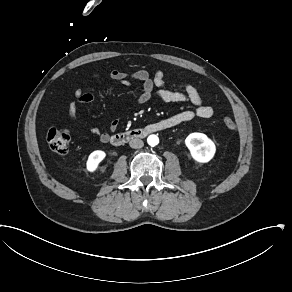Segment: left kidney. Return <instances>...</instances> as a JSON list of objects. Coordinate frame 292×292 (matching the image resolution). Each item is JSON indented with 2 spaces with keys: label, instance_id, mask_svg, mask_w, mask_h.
<instances>
[{
  "label": "left kidney",
  "instance_id": "obj_1",
  "mask_svg": "<svg viewBox=\"0 0 292 292\" xmlns=\"http://www.w3.org/2000/svg\"><path fill=\"white\" fill-rule=\"evenodd\" d=\"M185 145L192 159L200 164L210 162L216 153L214 141L204 133L193 132L189 134L185 139Z\"/></svg>",
  "mask_w": 292,
  "mask_h": 292
}]
</instances>
